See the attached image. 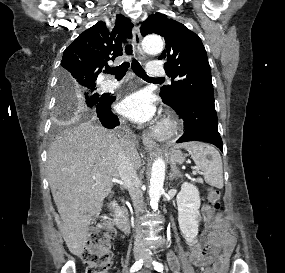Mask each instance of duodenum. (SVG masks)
Instances as JSON below:
<instances>
[{
  "label": "duodenum",
  "mask_w": 285,
  "mask_h": 273,
  "mask_svg": "<svg viewBox=\"0 0 285 273\" xmlns=\"http://www.w3.org/2000/svg\"><path fill=\"white\" fill-rule=\"evenodd\" d=\"M116 224L124 233H129V231H130V224H129L128 220L124 216L119 215Z\"/></svg>",
  "instance_id": "obj_1"
}]
</instances>
